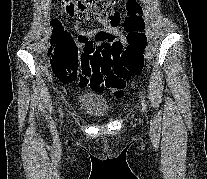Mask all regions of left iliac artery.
Instances as JSON below:
<instances>
[{
    "label": "left iliac artery",
    "mask_w": 207,
    "mask_h": 179,
    "mask_svg": "<svg viewBox=\"0 0 207 179\" xmlns=\"http://www.w3.org/2000/svg\"><path fill=\"white\" fill-rule=\"evenodd\" d=\"M141 102H142V110H143L144 112H146V111H147V105L145 104V100H144V98H143V100H142Z\"/></svg>",
    "instance_id": "left-iliac-artery-1"
}]
</instances>
